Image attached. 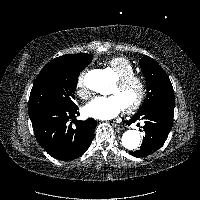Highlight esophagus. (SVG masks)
Returning <instances> with one entry per match:
<instances>
[{
  "label": "esophagus",
  "instance_id": "34e87169",
  "mask_svg": "<svg viewBox=\"0 0 200 200\" xmlns=\"http://www.w3.org/2000/svg\"><path fill=\"white\" fill-rule=\"evenodd\" d=\"M113 127H114L116 130H123V129H124L123 125L115 124V123H113Z\"/></svg>",
  "mask_w": 200,
  "mask_h": 200
}]
</instances>
